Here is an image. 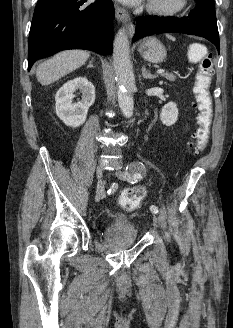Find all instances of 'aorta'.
I'll return each instance as SVG.
<instances>
[{
	"label": "aorta",
	"mask_w": 233,
	"mask_h": 328,
	"mask_svg": "<svg viewBox=\"0 0 233 328\" xmlns=\"http://www.w3.org/2000/svg\"><path fill=\"white\" fill-rule=\"evenodd\" d=\"M113 62L118 87V103L125 117L134 111L135 78L129 61V42L125 29H120L113 42Z\"/></svg>",
	"instance_id": "obj_1"
}]
</instances>
